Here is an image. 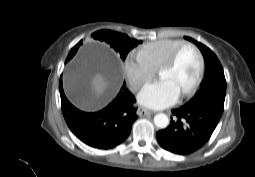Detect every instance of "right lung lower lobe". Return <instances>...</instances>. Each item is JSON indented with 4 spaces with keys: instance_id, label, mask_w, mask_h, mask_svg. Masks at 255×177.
Returning <instances> with one entry per match:
<instances>
[{
    "instance_id": "obj_1",
    "label": "right lung lower lobe",
    "mask_w": 255,
    "mask_h": 177,
    "mask_svg": "<svg viewBox=\"0 0 255 177\" xmlns=\"http://www.w3.org/2000/svg\"><path fill=\"white\" fill-rule=\"evenodd\" d=\"M59 91L66 123L86 145L97 149H110L129 136L137 115L133 106L135 98L125 84L106 108L91 113L80 111L68 101L63 92L62 80Z\"/></svg>"
}]
</instances>
